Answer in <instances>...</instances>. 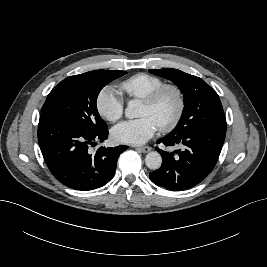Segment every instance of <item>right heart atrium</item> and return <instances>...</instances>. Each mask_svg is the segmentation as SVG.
<instances>
[{
  "mask_svg": "<svg viewBox=\"0 0 267 267\" xmlns=\"http://www.w3.org/2000/svg\"><path fill=\"white\" fill-rule=\"evenodd\" d=\"M96 108L104 119L116 122L124 113V100L111 86L102 88L96 97Z\"/></svg>",
  "mask_w": 267,
  "mask_h": 267,
  "instance_id": "1",
  "label": "right heart atrium"
}]
</instances>
